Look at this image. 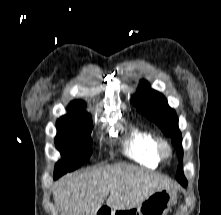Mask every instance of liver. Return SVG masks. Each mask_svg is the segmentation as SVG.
Returning a JSON list of instances; mask_svg holds the SVG:
<instances>
[{"label":"liver","instance_id":"6515ba94","mask_svg":"<svg viewBox=\"0 0 221 215\" xmlns=\"http://www.w3.org/2000/svg\"><path fill=\"white\" fill-rule=\"evenodd\" d=\"M177 187L167 177L115 164L68 174L58 181L53 194L61 215H95L107 196L109 208L124 210L138 206L158 190Z\"/></svg>","mask_w":221,"mask_h":215}]
</instances>
